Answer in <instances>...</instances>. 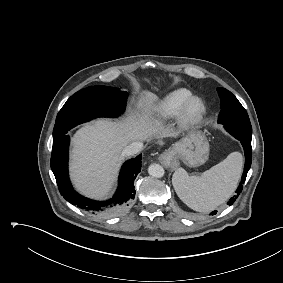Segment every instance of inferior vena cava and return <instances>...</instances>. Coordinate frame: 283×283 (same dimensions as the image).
<instances>
[{"label":"inferior vena cava","mask_w":283,"mask_h":283,"mask_svg":"<svg viewBox=\"0 0 283 283\" xmlns=\"http://www.w3.org/2000/svg\"><path fill=\"white\" fill-rule=\"evenodd\" d=\"M142 149H143L142 142H132L123 149L122 156H131L138 154Z\"/></svg>","instance_id":"602c4592"}]
</instances>
